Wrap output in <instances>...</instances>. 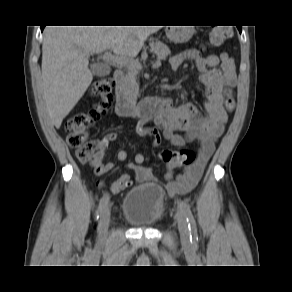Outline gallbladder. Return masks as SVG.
Here are the masks:
<instances>
[{
  "instance_id": "bac80fb5",
  "label": "gallbladder",
  "mask_w": 292,
  "mask_h": 292,
  "mask_svg": "<svg viewBox=\"0 0 292 292\" xmlns=\"http://www.w3.org/2000/svg\"><path fill=\"white\" fill-rule=\"evenodd\" d=\"M91 69L93 73L97 76H104V75H107L109 72L105 66L100 65V64L92 65Z\"/></svg>"
}]
</instances>
